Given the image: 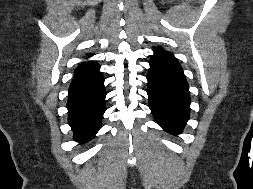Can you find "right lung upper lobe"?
Wrapping results in <instances>:
<instances>
[{"instance_id": "right-lung-upper-lobe-1", "label": "right lung upper lobe", "mask_w": 253, "mask_h": 189, "mask_svg": "<svg viewBox=\"0 0 253 189\" xmlns=\"http://www.w3.org/2000/svg\"><path fill=\"white\" fill-rule=\"evenodd\" d=\"M100 66L95 62L80 65L75 71L74 79H89L100 75Z\"/></svg>"}]
</instances>
